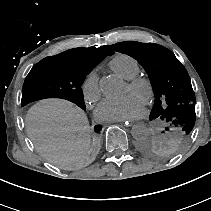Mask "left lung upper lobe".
I'll return each instance as SVG.
<instances>
[{
	"mask_svg": "<svg viewBox=\"0 0 211 211\" xmlns=\"http://www.w3.org/2000/svg\"><path fill=\"white\" fill-rule=\"evenodd\" d=\"M110 48L136 59L151 81L155 102L149 120L162 128V135L143 141L141 151L156 158L177 153L191 137L196 119L195 93L185 67L170 50L158 44L127 41Z\"/></svg>",
	"mask_w": 211,
	"mask_h": 211,
	"instance_id": "left-lung-upper-lobe-1",
	"label": "left lung upper lobe"
}]
</instances>
